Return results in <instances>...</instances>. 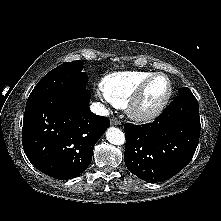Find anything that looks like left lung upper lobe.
Listing matches in <instances>:
<instances>
[{
	"label": "left lung upper lobe",
	"mask_w": 221,
	"mask_h": 221,
	"mask_svg": "<svg viewBox=\"0 0 221 221\" xmlns=\"http://www.w3.org/2000/svg\"><path fill=\"white\" fill-rule=\"evenodd\" d=\"M180 95H193V94L189 88L185 87V88H180L179 96Z\"/></svg>",
	"instance_id": "obj_1"
}]
</instances>
